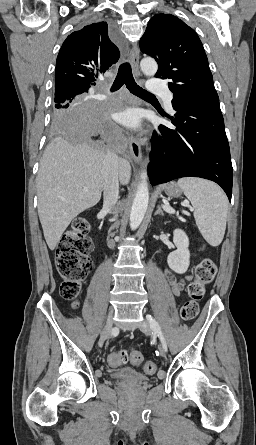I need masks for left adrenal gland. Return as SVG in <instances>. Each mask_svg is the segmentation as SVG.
I'll return each mask as SVG.
<instances>
[{
  "instance_id": "1",
  "label": "left adrenal gland",
  "mask_w": 256,
  "mask_h": 445,
  "mask_svg": "<svg viewBox=\"0 0 256 445\" xmlns=\"http://www.w3.org/2000/svg\"><path fill=\"white\" fill-rule=\"evenodd\" d=\"M157 214H161V215L164 214L163 211H162V209H161V206H157V210H156V212L154 213V215H157Z\"/></svg>"
}]
</instances>
